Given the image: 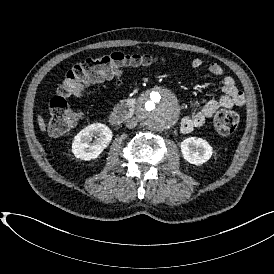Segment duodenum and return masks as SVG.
I'll return each mask as SVG.
<instances>
[{
  "mask_svg": "<svg viewBox=\"0 0 274 274\" xmlns=\"http://www.w3.org/2000/svg\"><path fill=\"white\" fill-rule=\"evenodd\" d=\"M136 104L135 98L124 100L111 112L110 121L115 125L123 123L133 115Z\"/></svg>",
  "mask_w": 274,
  "mask_h": 274,
  "instance_id": "duodenum-1",
  "label": "duodenum"
}]
</instances>
